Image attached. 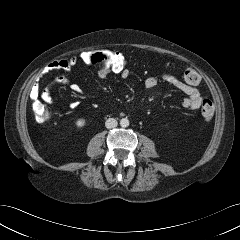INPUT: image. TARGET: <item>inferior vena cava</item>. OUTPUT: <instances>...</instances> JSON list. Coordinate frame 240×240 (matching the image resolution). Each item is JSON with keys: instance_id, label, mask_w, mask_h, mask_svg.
<instances>
[{"instance_id": "obj_1", "label": "inferior vena cava", "mask_w": 240, "mask_h": 240, "mask_svg": "<svg viewBox=\"0 0 240 240\" xmlns=\"http://www.w3.org/2000/svg\"><path fill=\"white\" fill-rule=\"evenodd\" d=\"M117 125H118V122H117V120L114 119V118H109V119H107L106 122H105V126H106V128H108V129L115 128V127H117Z\"/></svg>"}]
</instances>
